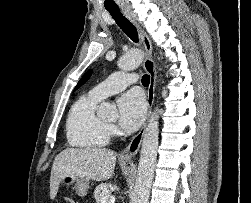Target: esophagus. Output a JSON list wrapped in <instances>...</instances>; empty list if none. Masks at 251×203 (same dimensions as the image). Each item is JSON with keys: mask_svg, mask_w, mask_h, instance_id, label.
<instances>
[{"mask_svg": "<svg viewBox=\"0 0 251 203\" xmlns=\"http://www.w3.org/2000/svg\"><path fill=\"white\" fill-rule=\"evenodd\" d=\"M122 13L137 29L139 36L143 42L144 48H145L144 68L150 75V84H149L148 93H147V103H148V109H149L148 117H149L153 103H154L156 77H157L156 65L152 59L151 40L149 36L146 34V32L144 31V29L139 25L136 18L133 16V14L130 11H128L127 9H122ZM144 131H145V125L139 131V133L131 140L130 144L122 151L120 155L121 159H126V160L132 159L137 154L141 146Z\"/></svg>", "mask_w": 251, "mask_h": 203, "instance_id": "34e87169", "label": "esophagus"}]
</instances>
